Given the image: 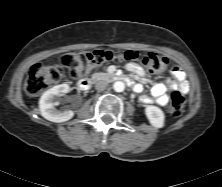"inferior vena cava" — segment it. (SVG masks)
<instances>
[{
    "instance_id": "inferior-vena-cava-1",
    "label": "inferior vena cava",
    "mask_w": 222,
    "mask_h": 187,
    "mask_svg": "<svg viewBox=\"0 0 222 187\" xmlns=\"http://www.w3.org/2000/svg\"><path fill=\"white\" fill-rule=\"evenodd\" d=\"M107 86L108 84L106 81L100 80L96 82L95 89L98 91H103L104 89H106Z\"/></svg>"
}]
</instances>
